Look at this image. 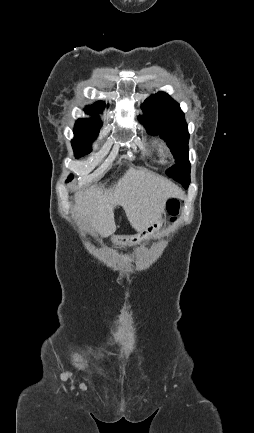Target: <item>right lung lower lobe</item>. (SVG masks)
Segmentation results:
<instances>
[{
    "instance_id": "1",
    "label": "right lung lower lobe",
    "mask_w": 254,
    "mask_h": 433,
    "mask_svg": "<svg viewBox=\"0 0 254 433\" xmlns=\"http://www.w3.org/2000/svg\"><path fill=\"white\" fill-rule=\"evenodd\" d=\"M73 178V176H69L67 181H70Z\"/></svg>"
}]
</instances>
